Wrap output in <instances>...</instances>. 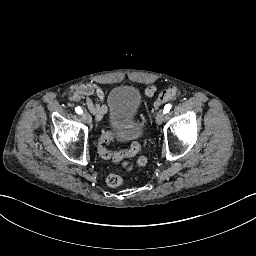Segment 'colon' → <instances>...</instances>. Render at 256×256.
Wrapping results in <instances>:
<instances>
[{
    "mask_svg": "<svg viewBox=\"0 0 256 256\" xmlns=\"http://www.w3.org/2000/svg\"><path fill=\"white\" fill-rule=\"evenodd\" d=\"M177 94V89L174 86H170L167 89L163 90L155 100L152 108V112H156L159 110L165 103L172 100ZM145 120H143L140 125L143 126L145 124ZM119 135L112 130H106L103 132L101 137V142L99 145V153L102 158H110L113 160L121 159L123 156L132 157L137 155L141 151V145L137 142L133 143L128 151L120 150L117 153H114L105 147L106 143H109L115 139H117ZM105 182L109 187H120L124 180L123 177L118 173H109L105 176Z\"/></svg>",
    "mask_w": 256,
    "mask_h": 256,
    "instance_id": "1",
    "label": "colon"
}]
</instances>
